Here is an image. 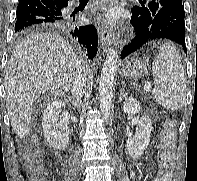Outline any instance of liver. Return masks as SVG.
<instances>
[{
  "mask_svg": "<svg viewBox=\"0 0 197 181\" xmlns=\"http://www.w3.org/2000/svg\"><path fill=\"white\" fill-rule=\"evenodd\" d=\"M81 67L74 48L58 34L34 33L17 44L5 75L7 112L17 137L31 131L34 101L47 91L65 95Z\"/></svg>",
  "mask_w": 197,
  "mask_h": 181,
  "instance_id": "1",
  "label": "liver"
}]
</instances>
